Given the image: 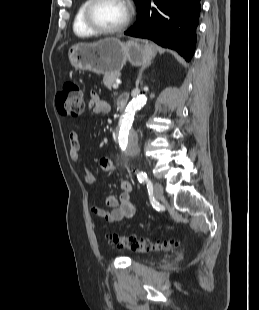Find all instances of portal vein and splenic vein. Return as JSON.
Wrapping results in <instances>:
<instances>
[{"label":"portal vein and splenic vein","instance_id":"18ae733b","mask_svg":"<svg viewBox=\"0 0 259 310\" xmlns=\"http://www.w3.org/2000/svg\"><path fill=\"white\" fill-rule=\"evenodd\" d=\"M119 84H120V82H116V83H114V84H113V88H114V89H117V88H118V86H119Z\"/></svg>","mask_w":259,"mask_h":310}]
</instances>
